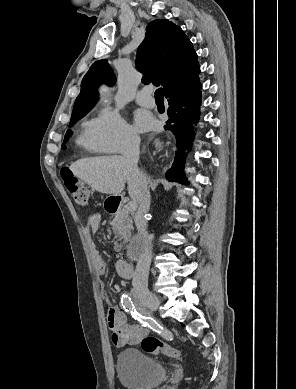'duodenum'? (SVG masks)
<instances>
[{
	"instance_id": "obj_1",
	"label": "duodenum",
	"mask_w": 296,
	"mask_h": 389,
	"mask_svg": "<svg viewBox=\"0 0 296 389\" xmlns=\"http://www.w3.org/2000/svg\"><path fill=\"white\" fill-rule=\"evenodd\" d=\"M121 207V199H112L107 206V210L110 213H116ZM116 270L122 278L129 279L133 276L134 268L133 265L127 261H119L116 264Z\"/></svg>"
}]
</instances>
